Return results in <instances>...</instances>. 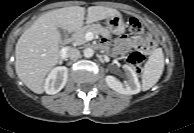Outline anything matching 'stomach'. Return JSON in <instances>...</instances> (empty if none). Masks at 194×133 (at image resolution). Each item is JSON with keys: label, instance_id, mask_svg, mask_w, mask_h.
Wrapping results in <instances>:
<instances>
[{"label": "stomach", "instance_id": "0dacf381", "mask_svg": "<svg viewBox=\"0 0 194 133\" xmlns=\"http://www.w3.org/2000/svg\"><path fill=\"white\" fill-rule=\"evenodd\" d=\"M107 30L115 35H120L125 32V24L121 15H115L106 19Z\"/></svg>", "mask_w": 194, "mask_h": 133}]
</instances>
